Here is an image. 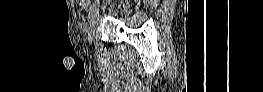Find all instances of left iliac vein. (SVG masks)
<instances>
[{
  "instance_id": "obj_1",
  "label": "left iliac vein",
  "mask_w": 263,
  "mask_h": 92,
  "mask_svg": "<svg viewBox=\"0 0 263 92\" xmlns=\"http://www.w3.org/2000/svg\"><path fill=\"white\" fill-rule=\"evenodd\" d=\"M98 3H101V0H98ZM98 22V14L96 16H92V20H90V31L88 34L89 40L92 42L93 37L96 33V23Z\"/></svg>"
}]
</instances>
